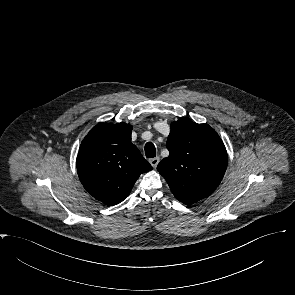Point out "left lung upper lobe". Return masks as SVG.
<instances>
[{
	"label": "left lung upper lobe",
	"mask_w": 295,
	"mask_h": 295,
	"mask_svg": "<svg viewBox=\"0 0 295 295\" xmlns=\"http://www.w3.org/2000/svg\"><path fill=\"white\" fill-rule=\"evenodd\" d=\"M166 146L170 154L160 161L157 170L180 202L193 204L218 187L228 158L213 128L186 119L175 121Z\"/></svg>",
	"instance_id": "obj_1"
}]
</instances>
